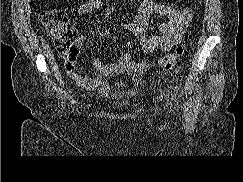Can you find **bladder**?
I'll list each match as a JSON object with an SVG mask.
<instances>
[{
  "label": "bladder",
  "mask_w": 243,
  "mask_h": 182,
  "mask_svg": "<svg viewBox=\"0 0 243 182\" xmlns=\"http://www.w3.org/2000/svg\"><path fill=\"white\" fill-rule=\"evenodd\" d=\"M128 106H129L128 101H122L114 105L116 109H124L127 108Z\"/></svg>",
  "instance_id": "obj_1"
}]
</instances>
